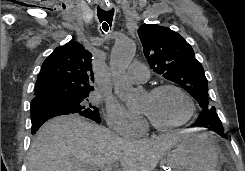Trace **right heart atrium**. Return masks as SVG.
<instances>
[{
	"mask_svg": "<svg viewBox=\"0 0 245 171\" xmlns=\"http://www.w3.org/2000/svg\"><path fill=\"white\" fill-rule=\"evenodd\" d=\"M106 122L110 129L127 138H137L146 128L141 116L130 113L116 102L107 105Z\"/></svg>",
	"mask_w": 245,
	"mask_h": 171,
	"instance_id": "obj_1",
	"label": "right heart atrium"
}]
</instances>
